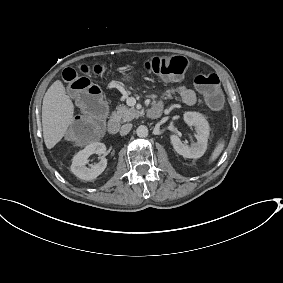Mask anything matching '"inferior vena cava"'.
Segmentation results:
<instances>
[{"label": "inferior vena cava", "instance_id": "602c4592", "mask_svg": "<svg viewBox=\"0 0 283 283\" xmlns=\"http://www.w3.org/2000/svg\"><path fill=\"white\" fill-rule=\"evenodd\" d=\"M131 129H132V124L130 123L123 125L120 129V135L121 136L127 135Z\"/></svg>", "mask_w": 283, "mask_h": 283}]
</instances>
